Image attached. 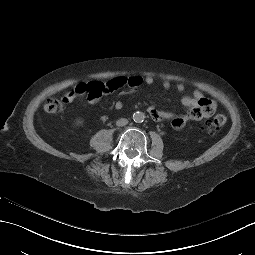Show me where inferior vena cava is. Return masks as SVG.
I'll return each instance as SVG.
<instances>
[{
	"label": "inferior vena cava",
	"mask_w": 255,
	"mask_h": 255,
	"mask_svg": "<svg viewBox=\"0 0 255 255\" xmlns=\"http://www.w3.org/2000/svg\"><path fill=\"white\" fill-rule=\"evenodd\" d=\"M128 124V120L125 118H121L119 120H117L116 125L119 127L125 126Z\"/></svg>",
	"instance_id": "obj_1"
}]
</instances>
